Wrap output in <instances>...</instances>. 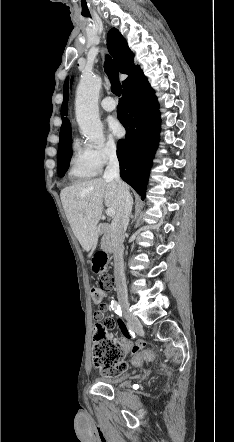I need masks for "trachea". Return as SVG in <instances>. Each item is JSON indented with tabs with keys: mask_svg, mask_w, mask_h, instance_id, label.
Returning a JSON list of instances; mask_svg holds the SVG:
<instances>
[{
	"mask_svg": "<svg viewBox=\"0 0 234 442\" xmlns=\"http://www.w3.org/2000/svg\"><path fill=\"white\" fill-rule=\"evenodd\" d=\"M104 69L111 83V91L116 96H120L122 92V87L119 82V72L109 56H106L105 58Z\"/></svg>",
	"mask_w": 234,
	"mask_h": 442,
	"instance_id": "1",
	"label": "trachea"
}]
</instances>
